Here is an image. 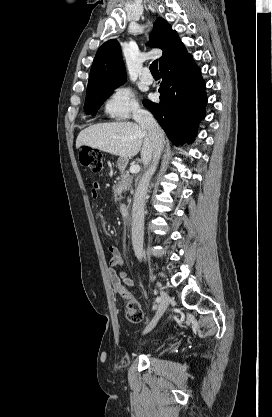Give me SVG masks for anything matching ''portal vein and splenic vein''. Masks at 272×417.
I'll return each mask as SVG.
<instances>
[{"instance_id":"1","label":"portal vein and splenic vein","mask_w":272,"mask_h":417,"mask_svg":"<svg viewBox=\"0 0 272 417\" xmlns=\"http://www.w3.org/2000/svg\"><path fill=\"white\" fill-rule=\"evenodd\" d=\"M139 171H140V166L139 165H132L131 167H130V173H132V174H137V173H139Z\"/></svg>"}]
</instances>
